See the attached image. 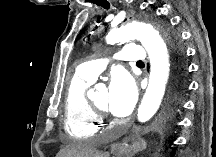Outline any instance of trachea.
<instances>
[{
    "label": "trachea",
    "instance_id": "obj_1",
    "mask_svg": "<svg viewBox=\"0 0 216 157\" xmlns=\"http://www.w3.org/2000/svg\"><path fill=\"white\" fill-rule=\"evenodd\" d=\"M98 6L103 7L104 9H109L110 8V3L108 1H102L97 3ZM137 64H143L142 61H138Z\"/></svg>",
    "mask_w": 216,
    "mask_h": 157
}]
</instances>
